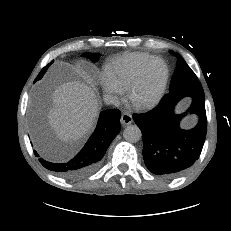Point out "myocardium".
Segmentation results:
<instances>
[{
    "label": "myocardium",
    "instance_id": "f54148a6",
    "mask_svg": "<svg viewBox=\"0 0 231 231\" xmlns=\"http://www.w3.org/2000/svg\"><path fill=\"white\" fill-rule=\"evenodd\" d=\"M154 62H159L163 66V76H162V80L160 82V85H159L157 91L155 92V94L150 99L143 101V102H136L134 100L135 91L138 88V86L141 84V82L143 81V78L146 74V71ZM168 77H169V69H168V66L165 63V61L159 57H152L151 59H149L146 63H144L142 65V67L138 71L137 75L135 76L133 81L128 86V88H127L128 99L131 102H133L134 105L139 109L145 110V109H150V108L154 107L161 100V98L165 92L167 82H168Z\"/></svg>",
    "mask_w": 231,
    "mask_h": 231
}]
</instances>
